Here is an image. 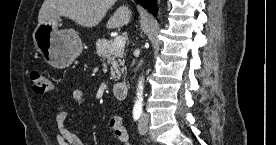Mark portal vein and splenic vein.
<instances>
[{
    "mask_svg": "<svg viewBox=\"0 0 276 145\" xmlns=\"http://www.w3.org/2000/svg\"><path fill=\"white\" fill-rule=\"evenodd\" d=\"M125 46V38L122 36H117L114 38V41L112 43V47L114 48H121Z\"/></svg>",
    "mask_w": 276,
    "mask_h": 145,
    "instance_id": "portal-vein-and-splenic-vein-1",
    "label": "portal vein and splenic vein"
}]
</instances>
